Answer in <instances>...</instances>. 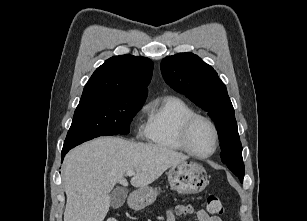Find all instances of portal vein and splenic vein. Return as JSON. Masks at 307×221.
<instances>
[{
  "instance_id": "1",
  "label": "portal vein and splenic vein",
  "mask_w": 307,
  "mask_h": 221,
  "mask_svg": "<svg viewBox=\"0 0 307 221\" xmlns=\"http://www.w3.org/2000/svg\"><path fill=\"white\" fill-rule=\"evenodd\" d=\"M127 176H133L134 175V171H127Z\"/></svg>"
}]
</instances>
